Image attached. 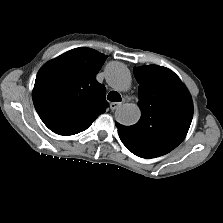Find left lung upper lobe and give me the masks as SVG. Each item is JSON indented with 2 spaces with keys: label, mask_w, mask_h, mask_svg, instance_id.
Here are the masks:
<instances>
[{
  "label": "left lung upper lobe",
  "mask_w": 223,
  "mask_h": 223,
  "mask_svg": "<svg viewBox=\"0 0 223 223\" xmlns=\"http://www.w3.org/2000/svg\"><path fill=\"white\" fill-rule=\"evenodd\" d=\"M139 83L141 119L133 126L116 123L123 144L135 155L155 158L185 138L193 117L191 95L180 78L158 65L134 68Z\"/></svg>",
  "instance_id": "left-lung-upper-lobe-1"
}]
</instances>
